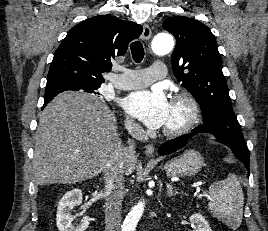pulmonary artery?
I'll list each match as a JSON object with an SVG mask.
<instances>
[{
    "mask_svg": "<svg viewBox=\"0 0 268 231\" xmlns=\"http://www.w3.org/2000/svg\"><path fill=\"white\" fill-rule=\"evenodd\" d=\"M166 65L162 62H153L146 68L131 69L123 75H113L111 82L113 86L121 90H131L145 87L155 79L165 76Z\"/></svg>",
    "mask_w": 268,
    "mask_h": 231,
    "instance_id": "pulmonary-artery-1",
    "label": "pulmonary artery"
}]
</instances>
